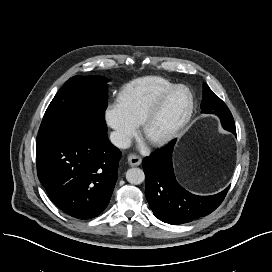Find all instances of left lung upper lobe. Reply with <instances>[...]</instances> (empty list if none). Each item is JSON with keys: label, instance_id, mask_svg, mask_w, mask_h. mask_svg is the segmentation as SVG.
Here are the masks:
<instances>
[{"label": "left lung upper lobe", "instance_id": "1", "mask_svg": "<svg viewBox=\"0 0 272 272\" xmlns=\"http://www.w3.org/2000/svg\"><path fill=\"white\" fill-rule=\"evenodd\" d=\"M202 113H211L220 115L224 112H230L226 104L217 97L209 86L204 83L203 84V99L201 102ZM231 127L235 128V123L231 120Z\"/></svg>", "mask_w": 272, "mask_h": 272}]
</instances>
